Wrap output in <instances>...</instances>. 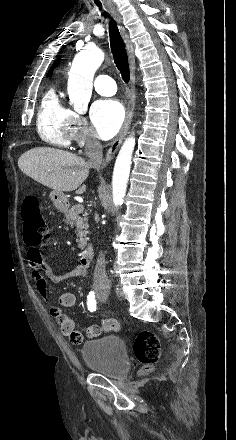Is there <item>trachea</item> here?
Instances as JSON below:
<instances>
[{
	"instance_id": "1",
	"label": "trachea",
	"mask_w": 236,
	"mask_h": 440,
	"mask_svg": "<svg viewBox=\"0 0 236 440\" xmlns=\"http://www.w3.org/2000/svg\"><path fill=\"white\" fill-rule=\"evenodd\" d=\"M96 5L99 7V9L102 8L101 3H96ZM104 16L108 17L109 15L107 12H104ZM109 34H110L111 51L114 57V62L118 70L120 71V74L124 82L128 83L130 80V68H129L128 56L119 29L113 20H110L109 22Z\"/></svg>"
}]
</instances>
